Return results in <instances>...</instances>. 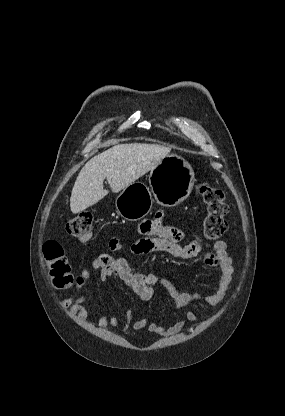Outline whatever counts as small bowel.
<instances>
[{"label":"small bowel","mask_w":285,"mask_h":416,"mask_svg":"<svg viewBox=\"0 0 285 416\" xmlns=\"http://www.w3.org/2000/svg\"><path fill=\"white\" fill-rule=\"evenodd\" d=\"M139 232L143 237L131 244V251L137 255L161 252L174 258L188 260L198 256L203 249L199 240L180 245L185 237L184 232L177 227L164 224L161 212H158L154 219L143 221ZM121 247L120 242L113 239L109 244V250L92 261L91 266L99 272L100 280L104 282L115 277L143 301L151 300L155 295L156 286H161L171 297L175 308L184 310L182 318L172 325L149 322L145 317L134 321L133 311L127 310L123 329L125 333L146 329L149 333L160 336L176 334L187 322L198 320L196 313L189 308L190 305L203 301L210 306H217L226 296L234 269L224 241H216L204 255V263L218 271L216 287L206 295L200 292H180L167 279L158 278L154 274L134 272L125 259L114 258L111 255V252L120 250ZM90 277V270L83 269L75 278L76 293L61 301V304L68 308L70 315L82 322L88 318V311L84 306L87 297L80 295L79 291L86 287ZM118 324L119 318L115 315H100L98 318V326L101 329L114 328Z\"/></svg>","instance_id":"1"}]
</instances>
